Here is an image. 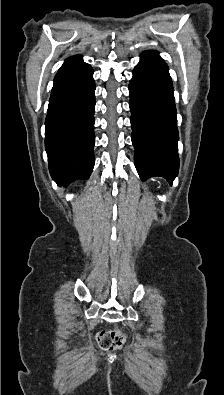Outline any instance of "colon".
I'll use <instances>...</instances> for the list:
<instances>
[{
  "label": "colon",
  "mask_w": 224,
  "mask_h": 395,
  "mask_svg": "<svg viewBox=\"0 0 224 395\" xmlns=\"http://www.w3.org/2000/svg\"><path fill=\"white\" fill-rule=\"evenodd\" d=\"M97 342L105 350L120 348L125 342V334L120 330H106L97 334Z\"/></svg>",
  "instance_id": "colon-1"
}]
</instances>
